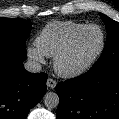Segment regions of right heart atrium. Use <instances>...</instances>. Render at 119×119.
I'll return each mask as SVG.
<instances>
[{"label":"right heart atrium","instance_id":"right-heart-atrium-1","mask_svg":"<svg viewBox=\"0 0 119 119\" xmlns=\"http://www.w3.org/2000/svg\"><path fill=\"white\" fill-rule=\"evenodd\" d=\"M28 56L37 63L44 62V55L37 47H29L27 49Z\"/></svg>","mask_w":119,"mask_h":119}]
</instances>
